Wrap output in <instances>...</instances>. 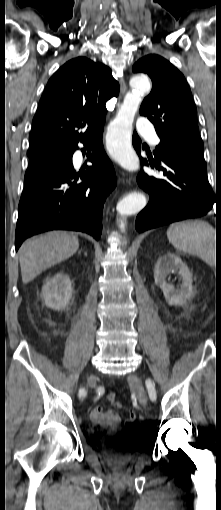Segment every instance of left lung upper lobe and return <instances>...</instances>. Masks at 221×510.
<instances>
[{"label":"left lung upper lobe","mask_w":221,"mask_h":510,"mask_svg":"<svg viewBox=\"0 0 221 510\" xmlns=\"http://www.w3.org/2000/svg\"><path fill=\"white\" fill-rule=\"evenodd\" d=\"M132 70L147 73L152 79L151 93L144 99L140 114L154 124L161 139L154 151L156 160H175L207 172L197 110L183 74L156 54L138 60Z\"/></svg>","instance_id":"1"}]
</instances>
